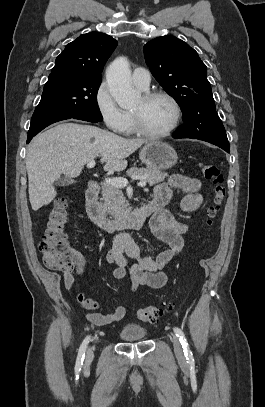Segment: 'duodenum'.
Segmentation results:
<instances>
[{"label": "duodenum", "mask_w": 265, "mask_h": 407, "mask_svg": "<svg viewBox=\"0 0 265 407\" xmlns=\"http://www.w3.org/2000/svg\"><path fill=\"white\" fill-rule=\"evenodd\" d=\"M99 192V183L94 180L90 181L86 191V211L90 220L108 233L117 232L122 229L140 228L150 214L164 205V201L152 199L133 208L121 218L110 219L99 203Z\"/></svg>", "instance_id": "obj_1"}]
</instances>
